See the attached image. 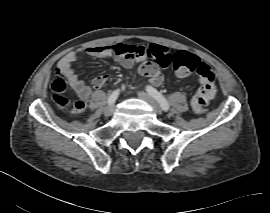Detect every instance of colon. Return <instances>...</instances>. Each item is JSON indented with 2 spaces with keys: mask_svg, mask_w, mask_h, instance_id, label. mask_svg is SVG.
<instances>
[{
  "mask_svg": "<svg viewBox=\"0 0 270 213\" xmlns=\"http://www.w3.org/2000/svg\"><path fill=\"white\" fill-rule=\"evenodd\" d=\"M113 48L115 53L122 57L137 56L146 58L148 56L145 47L139 45L118 43L115 44ZM156 59L160 61L164 67L172 66L174 68L175 75L179 78L186 77L193 71L196 72L201 86L193 96L191 106L195 113H203L207 104L216 93L215 76L212 69L207 64L200 62L196 55L185 51L175 53L172 57L171 63H169V60L163 59L161 56H157ZM52 90V98L60 106H69L72 111L83 110L84 104L82 102L75 101L72 104H69L63 97V91L60 88L59 80H55L52 83Z\"/></svg>",
  "mask_w": 270,
  "mask_h": 213,
  "instance_id": "1",
  "label": "colon"
}]
</instances>
